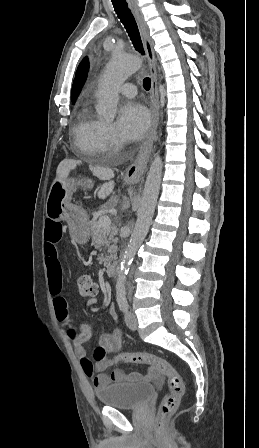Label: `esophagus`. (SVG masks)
<instances>
[{
    "instance_id": "obj_1",
    "label": "esophagus",
    "mask_w": 259,
    "mask_h": 448,
    "mask_svg": "<svg viewBox=\"0 0 259 448\" xmlns=\"http://www.w3.org/2000/svg\"><path fill=\"white\" fill-rule=\"evenodd\" d=\"M138 24L144 48L148 58L150 75L152 80L151 86V116L152 126L149 130L147 138L139 150L134 162L127 168L125 179L131 183H138L147 167L148 159L151 153L152 145L156 138V131L159 121V93L157 87V70L156 58L153 48V42L149 35L148 26L144 20L142 11L137 0H126Z\"/></svg>"
}]
</instances>
